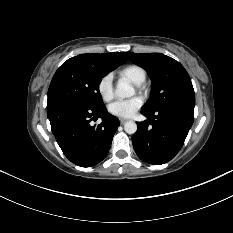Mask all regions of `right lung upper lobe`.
<instances>
[{
    "label": "right lung upper lobe",
    "instance_id": "right-lung-upper-lobe-1",
    "mask_svg": "<svg viewBox=\"0 0 233 233\" xmlns=\"http://www.w3.org/2000/svg\"><path fill=\"white\" fill-rule=\"evenodd\" d=\"M124 52H113V53H105V54H81L78 56L86 57L89 59L97 60V61H105L110 64H123L126 62V58L124 57Z\"/></svg>",
    "mask_w": 233,
    "mask_h": 233
}]
</instances>
